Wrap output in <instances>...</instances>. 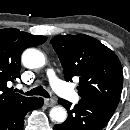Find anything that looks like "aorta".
<instances>
[{
  "label": "aorta",
  "mask_w": 130,
  "mask_h": 130,
  "mask_svg": "<svg viewBox=\"0 0 130 130\" xmlns=\"http://www.w3.org/2000/svg\"><path fill=\"white\" fill-rule=\"evenodd\" d=\"M22 63L26 68L36 69L43 67L46 61L42 52L34 48H29L22 54ZM49 115L52 121L63 123L67 118V111L62 106H56L50 110Z\"/></svg>",
  "instance_id": "obj_1"
}]
</instances>
